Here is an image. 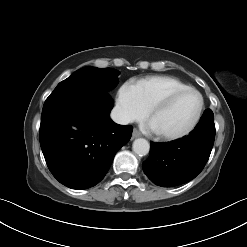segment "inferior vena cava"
<instances>
[{
    "instance_id": "inferior-vena-cava-1",
    "label": "inferior vena cava",
    "mask_w": 247,
    "mask_h": 247,
    "mask_svg": "<svg viewBox=\"0 0 247 247\" xmlns=\"http://www.w3.org/2000/svg\"><path fill=\"white\" fill-rule=\"evenodd\" d=\"M110 116L118 124L126 125L131 122L129 114L120 107H114Z\"/></svg>"
}]
</instances>
